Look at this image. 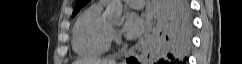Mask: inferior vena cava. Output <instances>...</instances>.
<instances>
[{"label": "inferior vena cava", "instance_id": "obj_1", "mask_svg": "<svg viewBox=\"0 0 242 64\" xmlns=\"http://www.w3.org/2000/svg\"><path fill=\"white\" fill-rule=\"evenodd\" d=\"M126 48H127V44H124L123 47H122V49H121V52L125 51Z\"/></svg>", "mask_w": 242, "mask_h": 64}]
</instances>
